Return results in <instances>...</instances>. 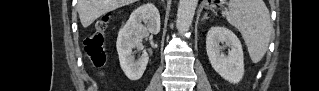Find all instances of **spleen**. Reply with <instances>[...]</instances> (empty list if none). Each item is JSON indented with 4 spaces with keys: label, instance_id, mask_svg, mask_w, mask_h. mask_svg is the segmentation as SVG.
Masks as SVG:
<instances>
[{
    "label": "spleen",
    "instance_id": "spleen-1",
    "mask_svg": "<svg viewBox=\"0 0 319 91\" xmlns=\"http://www.w3.org/2000/svg\"><path fill=\"white\" fill-rule=\"evenodd\" d=\"M227 21L241 33L253 63L261 61L270 42V13L262 0H231Z\"/></svg>",
    "mask_w": 319,
    "mask_h": 91
}]
</instances>
